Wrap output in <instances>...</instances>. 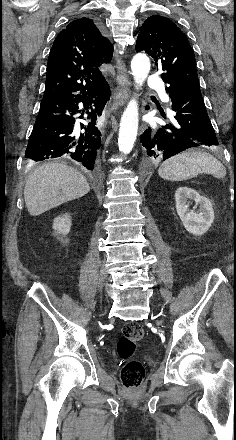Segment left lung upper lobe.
I'll return each mask as SVG.
<instances>
[{
	"instance_id": "1",
	"label": "left lung upper lobe",
	"mask_w": 236,
	"mask_h": 440,
	"mask_svg": "<svg viewBox=\"0 0 236 440\" xmlns=\"http://www.w3.org/2000/svg\"><path fill=\"white\" fill-rule=\"evenodd\" d=\"M136 51H144L154 59L163 71L161 78L168 84L167 92L183 83H199L195 56L187 37L168 18L153 15L145 20Z\"/></svg>"
}]
</instances>
